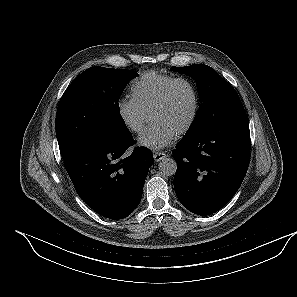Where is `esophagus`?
Returning a JSON list of instances; mask_svg holds the SVG:
<instances>
[{"label":"esophagus","instance_id":"34e87169","mask_svg":"<svg viewBox=\"0 0 297 297\" xmlns=\"http://www.w3.org/2000/svg\"><path fill=\"white\" fill-rule=\"evenodd\" d=\"M153 157H154L155 162H159V161H161L162 159H164L166 157V153L165 152H158V153H155L153 155Z\"/></svg>","mask_w":297,"mask_h":297}]
</instances>
